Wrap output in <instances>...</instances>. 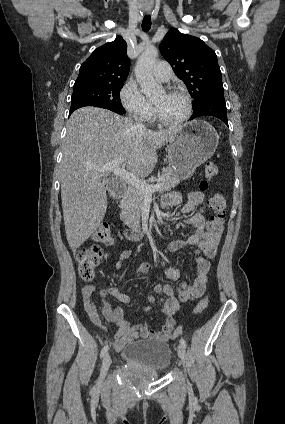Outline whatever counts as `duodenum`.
<instances>
[{"instance_id":"410a0bca","label":"duodenum","mask_w":285,"mask_h":424,"mask_svg":"<svg viewBox=\"0 0 285 424\" xmlns=\"http://www.w3.org/2000/svg\"><path fill=\"white\" fill-rule=\"evenodd\" d=\"M110 186H111V189L114 192H116V193H121V192H123L125 190V184H124V182L120 178H118V177H115V178H113L111 180ZM142 236L143 235L141 233L135 232V231H132L129 234V238L132 241L140 240L142 238Z\"/></svg>"}]
</instances>
